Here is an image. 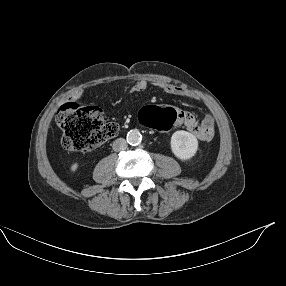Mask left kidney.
<instances>
[{"label":"left kidney","instance_id":"5707ae66","mask_svg":"<svg viewBox=\"0 0 286 286\" xmlns=\"http://www.w3.org/2000/svg\"><path fill=\"white\" fill-rule=\"evenodd\" d=\"M197 149L198 140L193 134L184 130L173 133L171 137V150L177 158L188 160L196 154Z\"/></svg>","mask_w":286,"mask_h":286}]
</instances>
